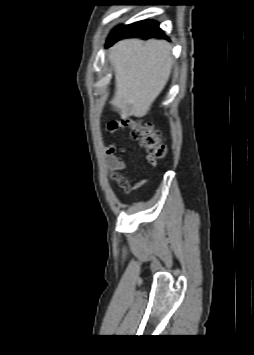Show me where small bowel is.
<instances>
[{"instance_id": "small-bowel-1", "label": "small bowel", "mask_w": 254, "mask_h": 355, "mask_svg": "<svg viewBox=\"0 0 254 355\" xmlns=\"http://www.w3.org/2000/svg\"><path fill=\"white\" fill-rule=\"evenodd\" d=\"M114 124L110 127L109 123ZM108 123V131L110 134H115V132L124 128L121 121H111ZM128 152L126 146H118L116 143L105 144L104 154L106 157V163L111 171V180L116 182L126 193H130L134 189L140 187L147 179L136 181L134 176L127 174L128 165L124 158V154ZM147 161L150 166L156 165V160L154 158L147 157Z\"/></svg>"}]
</instances>
